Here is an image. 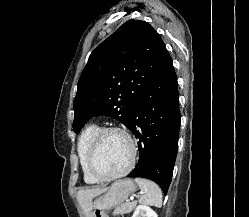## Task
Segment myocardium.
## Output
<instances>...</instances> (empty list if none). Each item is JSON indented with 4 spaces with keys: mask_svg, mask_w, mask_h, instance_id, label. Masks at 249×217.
Masks as SVG:
<instances>
[{
    "mask_svg": "<svg viewBox=\"0 0 249 217\" xmlns=\"http://www.w3.org/2000/svg\"><path fill=\"white\" fill-rule=\"evenodd\" d=\"M108 133H119V134L123 135L127 139L128 143L130 145L131 156H130V160H129L127 166L123 170H121L118 173L112 174V175H103L96 170V168L94 166V159H95V155H96L100 141ZM136 159H137V146H136L132 136L126 130H124L122 128L105 127V128H101L97 132V134L94 136L93 140L90 143L88 154H87V167H88L90 174L93 177H95L97 180H99V181H111V180L121 178V177L125 176L127 173H129L132 170V168L134 167V165L136 163Z\"/></svg>",
    "mask_w": 249,
    "mask_h": 217,
    "instance_id": "f54148a6",
    "label": "myocardium"
}]
</instances>
